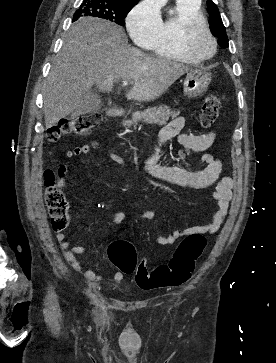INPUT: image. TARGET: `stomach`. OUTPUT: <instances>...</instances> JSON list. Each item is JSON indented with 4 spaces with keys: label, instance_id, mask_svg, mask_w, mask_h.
<instances>
[{
    "label": "stomach",
    "instance_id": "stomach-1",
    "mask_svg": "<svg viewBox=\"0 0 276 363\" xmlns=\"http://www.w3.org/2000/svg\"><path fill=\"white\" fill-rule=\"evenodd\" d=\"M211 82V75L204 70H191L184 79V96L188 99L201 97Z\"/></svg>",
    "mask_w": 276,
    "mask_h": 363
}]
</instances>
